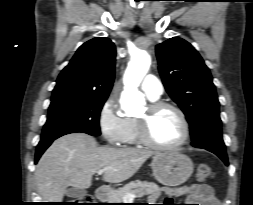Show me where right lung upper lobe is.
Returning <instances> with one entry per match:
<instances>
[{
	"mask_svg": "<svg viewBox=\"0 0 253 205\" xmlns=\"http://www.w3.org/2000/svg\"><path fill=\"white\" fill-rule=\"evenodd\" d=\"M115 55L108 38L96 37L81 45L58 76L51 100L107 98L114 81Z\"/></svg>",
	"mask_w": 253,
	"mask_h": 205,
	"instance_id": "cb5924a9",
	"label": "right lung upper lobe"
}]
</instances>
